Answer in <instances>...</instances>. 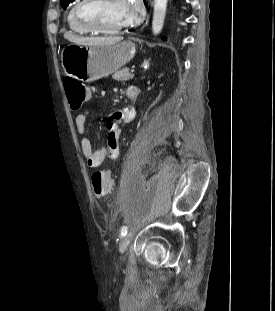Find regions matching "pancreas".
Here are the masks:
<instances>
[{"instance_id": "obj_1", "label": "pancreas", "mask_w": 275, "mask_h": 311, "mask_svg": "<svg viewBox=\"0 0 275 311\" xmlns=\"http://www.w3.org/2000/svg\"><path fill=\"white\" fill-rule=\"evenodd\" d=\"M113 79L117 80V81H127L129 79L133 78V75L129 73L128 69H122L120 71H117L116 73H114V75L112 76Z\"/></svg>"}]
</instances>
